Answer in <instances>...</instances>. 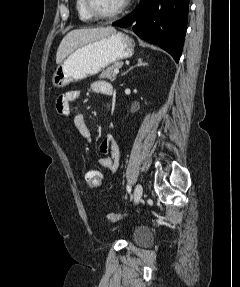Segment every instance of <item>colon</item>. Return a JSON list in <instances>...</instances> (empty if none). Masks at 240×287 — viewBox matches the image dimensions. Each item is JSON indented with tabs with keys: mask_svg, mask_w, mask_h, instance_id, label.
Returning <instances> with one entry per match:
<instances>
[{
	"mask_svg": "<svg viewBox=\"0 0 240 287\" xmlns=\"http://www.w3.org/2000/svg\"><path fill=\"white\" fill-rule=\"evenodd\" d=\"M82 174L87 185L92 189H98L102 186L104 176L103 173L95 168L89 166L82 167ZM106 219L112 222H118L121 220V214L115 212H109L106 214Z\"/></svg>",
	"mask_w": 240,
	"mask_h": 287,
	"instance_id": "5ec220e1",
	"label": "colon"
}]
</instances>
